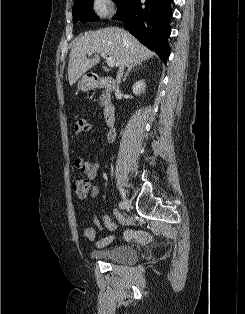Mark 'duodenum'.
<instances>
[{"label": "duodenum", "mask_w": 245, "mask_h": 314, "mask_svg": "<svg viewBox=\"0 0 245 314\" xmlns=\"http://www.w3.org/2000/svg\"><path fill=\"white\" fill-rule=\"evenodd\" d=\"M115 84V80L111 76L96 75L91 78V85L93 88H107L112 89ZM104 116L106 124L109 128H112L115 124V107L111 103H108L104 108Z\"/></svg>", "instance_id": "obj_1"}]
</instances>
